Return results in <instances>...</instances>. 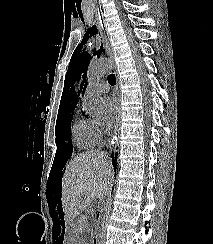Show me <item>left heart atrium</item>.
I'll list each match as a JSON object with an SVG mask.
<instances>
[{
    "instance_id": "1",
    "label": "left heart atrium",
    "mask_w": 213,
    "mask_h": 244,
    "mask_svg": "<svg viewBox=\"0 0 213 244\" xmlns=\"http://www.w3.org/2000/svg\"><path fill=\"white\" fill-rule=\"evenodd\" d=\"M119 110L118 100L115 97H107L103 101L104 123L107 128H112L117 121Z\"/></svg>"
}]
</instances>
